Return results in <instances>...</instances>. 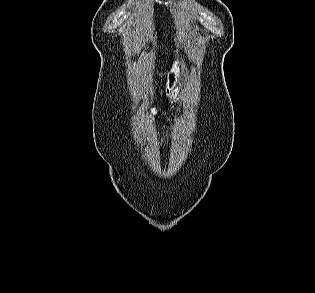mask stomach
<instances>
[{
    "mask_svg": "<svg viewBox=\"0 0 315 293\" xmlns=\"http://www.w3.org/2000/svg\"><path fill=\"white\" fill-rule=\"evenodd\" d=\"M185 72V63L181 57H178L173 65L169 75V79L166 85V95L170 98V100H175L179 97L181 92V83L180 80ZM155 113H157V109H155Z\"/></svg>",
    "mask_w": 315,
    "mask_h": 293,
    "instance_id": "0dacf381",
    "label": "stomach"
}]
</instances>
